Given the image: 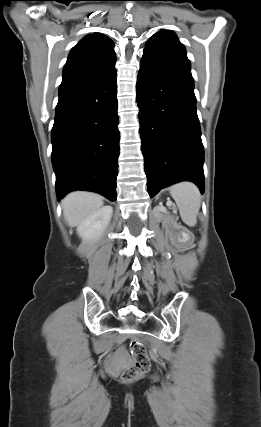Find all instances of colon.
<instances>
[{
    "label": "colon",
    "instance_id": "5ec220e1",
    "mask_svg": "<svg viewBox=\"0 0 261 427\" xmlns=\"http://www.w3.org/2000/svg\"><path fill=\"white\" fill-rule=\"evenodd\" d=\"M130 352L133 358V364L122 373V379L125 381L135 380L150 369V358L142 342L135 340L130 344Z\"/></svg>",
    "mask_w": 261,
    "mask_h": 427
}]
</instances>
